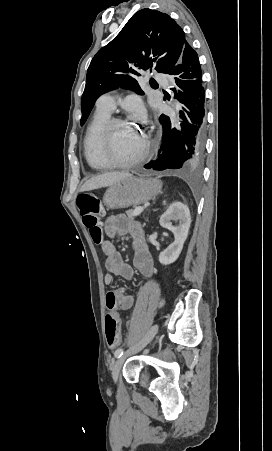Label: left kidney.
<instances>
[{
  "label": "left kidney",
  "instance_id": "1",
  "mask_svg": "<svg viewBox=\"0 0 272 451\" xmlns=\"http://www.w3.org/2000/svg\"><path fill=\"white\" fill-rule=\"evenodd\" d=\"M170 220H175V222L180 220L181 224H179V226H172V222H170ZM159 224L162 227H167V229H170V231L174 233L175 237L173 243H170L166 249H163V251H160L159 253L160 263L167 265V263H173V261H176L177 257H179L182 251L183 243L188 235L191 224V216L188 206L181 204V202H174V204H171L168 210L162 214Z\"/></svg>",
  "mask_w": 272,
  "mask_h": 451
}]
</instances>
